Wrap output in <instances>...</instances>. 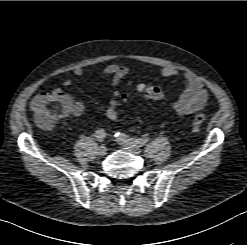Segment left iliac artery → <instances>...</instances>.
<instances>
[{"mask_svg":"<svg viewBox=\"0 0 247 245\" xmlns=\"http://www.w3.org/2000/svg\"><path fill=\"white\" fill-rule=\"evenodd\" d=\"M115 137L121 142L129 143L132 145H138L140 147L144 146L149 140V137L147 136L144 138H135V137H129L121 132H117L115 134Z\"/></svg>","mask_w":247,"mask_h":245,"instance_id":"obj_1","label":"left iliac artery"}]
</instances>
